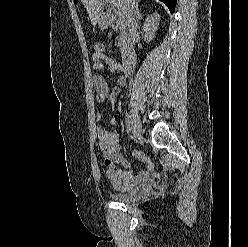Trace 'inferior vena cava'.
<instances>
[{
	"mask_svg": "<svg viewBox=\"0 0 248 247\" xmlns=\"http://www.w3.org/2000/svg\"><path fill=\"white\" fill-rule=\"evenodd\" d=\"M125 21L129 27L131 35H135L137 31V16L135 0H125Z\"/></svg>",
	"mask_w": 248,
	"mask_h": 247,
	"instance_id": "inferior-vena-cava-1",
	"label": "inferior vena cava"
}]
</instances>
